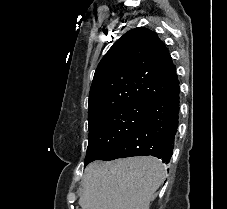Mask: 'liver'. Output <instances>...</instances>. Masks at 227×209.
Listing matches in <instances>:
<instances>
[{
    "instance_id": "liver-1",
    "label": "liver",
    "mask_w": 227,
    "mask_h": 209,
    "mask_svg": "<svg viewBox=\"0 0 227 209\" xmlns=\"http://www.w3.org/2000/svg\"><path fill=\"white\" fill-rule=\"evenodd\" d=\"M164 165L155 157L93 161L83 175L81 209H149L163 183Z\"/></svg>"
}]
</instances>
